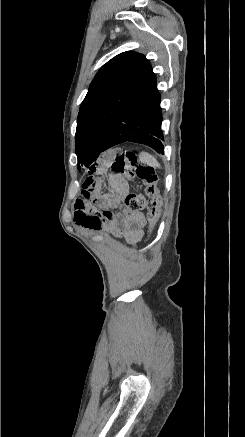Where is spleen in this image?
Listing matches in <instances>:
<instances>
[{"instance_id": "obj_1", "label": "spleen", "mask_w": 245, "mask_h": 437, "mask_svg": "<svg viewBox=\"0 0 245 437\" xmlns=\"http://www.w3.org/2000/svg\"><path fill=\"white\" fill-rule=\"evenodd\" d=\"M139 157H140L141 161L145 162L149 166H152V167H159L160 166L157 159L147 152H141Z\"/></svg>"}]
</instances>
